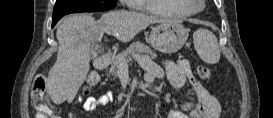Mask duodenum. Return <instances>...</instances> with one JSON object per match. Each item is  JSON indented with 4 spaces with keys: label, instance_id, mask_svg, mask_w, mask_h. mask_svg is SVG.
I'll list each match as a JSON object with an SVG mask.
<instances>
[{
    "label": "duodenum",
    "instance_id": "1",
    "mask_svg": "<svg viewBox=\"0 0 273 118\" xmlns=\"http://www.w3.org/2000/svg\"><path fill=\"white\" fill-rule=\"evenodd\" d=\"M108 65V58L106 56H101L96 59L95 66L98 69H103Z\"/></svg>",
    "mask_w": 273,
    "mask_h": 118
}]
</instances>
